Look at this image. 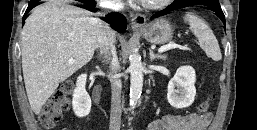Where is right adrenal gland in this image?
Here are the masks:
<instances>
[{
    "label": "right adrenal gland",
    "mask_w": 257,
    "mask_h": 130,
    "mask_svg": "<svg viewBox=\"0 0 257 130\" xmlns=\"http://www.w3.org/2000/svg\"><path fill=\"white\" fill-rule=\"evenodd\" d=\"M107 51L106 50H102L100 52V56H98V59H100L102 61V63H107L108 62V56H107Z\"/></svg>",
    "instance_id": "right-adrenal-gland-1"
}]
</instances>
